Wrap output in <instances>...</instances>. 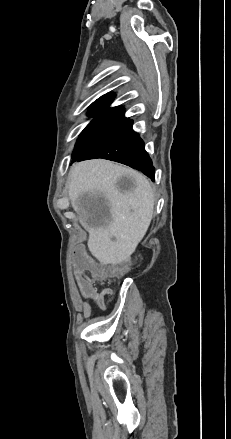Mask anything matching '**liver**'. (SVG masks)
<instances>
[{
	"instance_id": "1",
	"label": "liver",
	"mask_w": 231,
	"mask_h": 439,
	"mask_svg": "<svg viewBox=\"0 0 231 439\" xmlns=\"http://www.w3.org/2000/svg\"><path fill=\"white\" fill-rule=\"evenodd\" d=\"M122 176L134 187L127 193L118 189ZM100 193L108 201L100 216L87 217L81 198ZM68 196L80 223L89 232L88 249L102 264L127 260L145 236L154 211V189L140 172L104 159L73 165L69 173Z\"/></svg>"
}]
</instances>
